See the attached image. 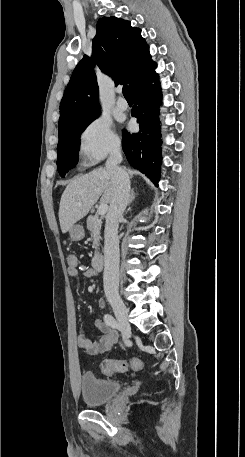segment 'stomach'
Segmentation results:
<instances>
[{"instance_id":"0dacf381","label":"stomach","mask_w":245,"mask_h":457,"mask_svg":"<svg viewBox=\"0 0 245 457\" xmlns=\"http://www.w3.org/2000/svg\"><path fill=\"white\" fill-rule=\"evenodd\" d=\"M69 235L72 241H81V239L84 237L83 226H81V224H73L71 229H69Z\"/></svg>"}]
</instances>
